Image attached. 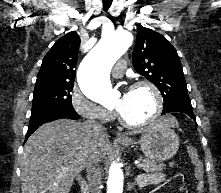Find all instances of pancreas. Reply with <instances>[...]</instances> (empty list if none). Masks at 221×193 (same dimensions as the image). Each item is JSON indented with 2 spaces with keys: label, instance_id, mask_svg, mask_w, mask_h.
Segmentation results:
<instances>
[{
  "label": "pancreas",
  "instance_id": "cf45deb5",
  "mask_svg": "<svg viewBox=\"0 0 221 193\" xmlns=\"http://www.w3.org/2000/svg\"><path fill=\"white\" fill-rule=\"evenodd\" d=\"M138 160L142 162V164H143L142 168L147 173H154V172L162 171L165 169V164H163V163L157 164L154 161H151L148 159H143V158H139ZM169 165L173 166L174 163L171 162V163H169Z\"/></svg>",
  "mask_w": 221,
  "mask_h": 193
}]
</instances>
